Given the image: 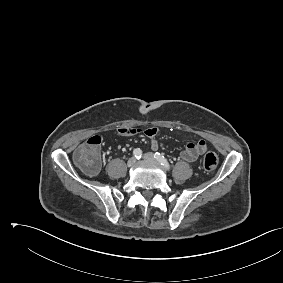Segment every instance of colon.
Instances as JSON below:
<instances>
[{
  "instance_id": "1",
  "label": "colon",
  "mask_w": 283,
  "mask_h": 283,
  "mask_svg": "<svg viewBox=\"0 0 283 283\" xmlns=\"http://www.w3.org/2000/svg\"><path fill=\"white\" fill-rule=\"evenodd\" d=\"M99 136L90 137L74 153L76 163L88 174H95L99 170ZM218 156L214 152H207L203 158L204 169L211 171L218 165Z\"/></svg>"
}]
</instances>
